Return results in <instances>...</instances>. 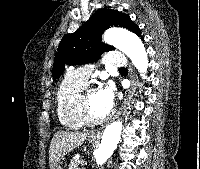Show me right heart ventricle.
I'll return each instance as SVG.
<instances>
[{"label":"right heart ventricle","mask_w":200,"mask_h":169,"mask_svg":"<svg viewBox=\"0 0 200 169\" xmlns=\"http://www.w3.org/2000/svg\"><path fill=\"white\" fill-rule=\"evenodd\" d=\"M84 88V84L77 82L68 75L58 86L56 111L59 122L66 129L79 130L84 127L78 106V96Z\"/></svg>","instance_id":"obj_1"}]
</instances>
